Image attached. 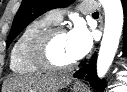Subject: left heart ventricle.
I'll list each match as a JSON object with an SVG mask.
<instances>
[{
    "label": "left heart ventricle",
    "mask_w": 127,
    "mask_h": 92,
    "mask_svg": "<svg viewBox=\"0 0 127 92\" xmlns=\"http://www.w3.org/2000/svg\"><path fill=\"white\" fill-rule=\"evenodd\" d=\"M51 57L60 65L75 61L69 49L67 33H60L54 37L51 45Z\"/></svg>",
    "instance_id": "left-heart-ventricle-1"
}]
</instances>
